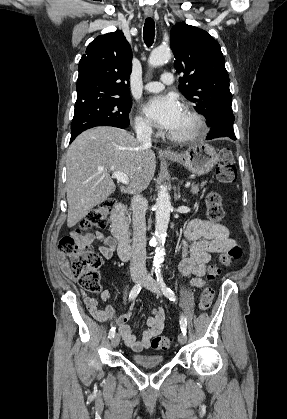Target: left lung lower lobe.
<instances>
[{"label":"left lung lower lobe","instance_id":"obj_1","mask_svg":"<svg viewBox=\"0 0 287 419\" xmlns=\"http://www.w3.org/2000/svg\"><path fill=\"white\" fill-rule=\"evenodd\" d=\"M234 120L235 117L231 107L221 110L217 114L215 120L208 125L210 127V131L206 139L211 140L215 138L228 137L232 140H236L233 130Z\"/></svg>","mask_w":287,"mask_h":419}]
</instances>
